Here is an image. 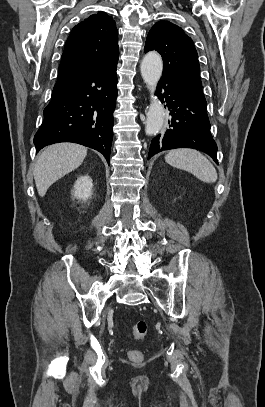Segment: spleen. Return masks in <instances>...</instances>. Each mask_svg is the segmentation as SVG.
Wrapping results in <instances>:
<instances>
[{
  "label": "spleen",
  "instance_id": "3e777b00",
  "mask_svg": "<svg viewBox=\"0 0 265 407\" xmlns=\"http://www.w3.org/2000/svg\"><path fill=\"white\" fill-rule=\"evenodd\" d=\"M165 161L176 168L186 170L203 182L214 183L218 175L212 163L199 151L182 148L171 150Z\"/></svg>",
  "mask_w": 265,
  "mask_h": 407
}]
</instances>
